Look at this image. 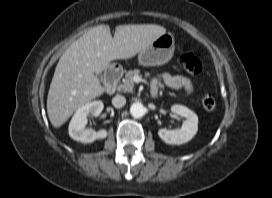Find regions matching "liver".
I'll use <instances>...</instances> for the list:
<instances>
[{"label":"liver","instance_id":"6515ba94","mask_svg":"<svg viewBox=\"0 0 272 198\" xmlns=\"http://www.w3.org/2000/svg\"><path fill=\"white\" fill-rule=\"evenodd\" d=\"M166 29L154 24L119 25L114 37L108 25H98L74 41L61 56L50 84L47 113L60 127L81 106L105 91L95 74L112 60L130 59L149 47Z\"/></svg>","mask_w":272,"mask_h":198}]
</instances>
